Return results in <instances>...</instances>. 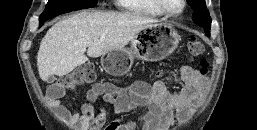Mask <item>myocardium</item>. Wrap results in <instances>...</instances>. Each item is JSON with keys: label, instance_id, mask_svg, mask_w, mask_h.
Listing matches in <instances>:
<instances>
[{"label": "myocardium", "instance_id": "f54148a6", "mask_svg": "<svg viewBox=\"0 0 257 130\" xmlns=\"http://www.w3.org/2000/svg\"><path fill=\"white\" fill-rule=\"evenodd\" d=\"M155 4L157 5V7L166 15H169V16H178L180 14L183 13V11L185 10L186 8V5H187V0H182V7L179 11L177 12H174V11H171L169 10L166 5L164 4L163 0H154Z\"/></svg>", "mask_w": 257, "mask_h": 130}]
</instances>
